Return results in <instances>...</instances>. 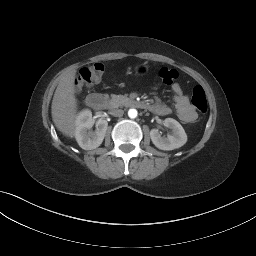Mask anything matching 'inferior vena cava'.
Wrapping results in <instances>:
<instances>
[{
  "instance_id": "obj_1",
  "label": "inferior vena cava",
  "mask_w": 256,
  "mask_h": 256,
  "mask_svg": "<svg viewBox=\"0 0 256 256\" xmlns=\"http://www.w3.org/2000/svg\"><path fill=\"white\" fill-rule=\"evenodd\" d=\"M124 114V111L122 109H113L111 111V115L115 116V117H120Z\"/></svg>"
}]
</instances>
